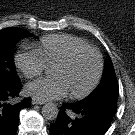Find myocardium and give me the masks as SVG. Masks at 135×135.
Instances as JSON below:
<instances>
[{
  "mask_svg": "<svg viewBox=\"0 0 135 135\" xmlns=\"http://www.w3.org/2000/svg\"><path fill=\"white\" fill-rule=\"evenodd\" d=\"M84 52H92L95 54L97 58V70L96 74L92 80V82L89 84V86L82 92L80 93H72L70 92L69 95L73 99H83L89 96L97 87V85L100 82V79L103 74V69H104V62H103V57L100 51L92 46H86V47H79L71 50L64 58L61 60L57 61L53 67H62V66H67L69 65L79 54L84 53Z\"/></svg>",
  "mask_w": 135,
  "mask_h": 135,
  "instance_id": "obj_1",
  "label": "myocardium"
}]
</instances>
